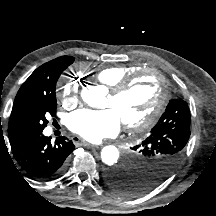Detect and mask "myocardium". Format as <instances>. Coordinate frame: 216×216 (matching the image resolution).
<instances>
[{"label":"myocardium","mask_w":216,"mask_h":216,"mask_svg":"<svg viewBox=\"0 0 216 216\" xmlns=\"http://www.w3.org/2000/svg\"><path fill=\"white\" fill-rule=\"evenodd\" d=\"M152 73L156 75L160 82V94L157 99V102L155 106L152 108L150 113L147 117H145L143 120L138 121L133 124L124 123V128L128 132H140L143 131L150 126H152L157 118L159 117L160 113L164 109L166 102L169 97V89H168V81L165 77V75L159 71L156 68H146L139 70L135 73H132L122 79L119 83H117L114 87L110 88V96L113 98H118L122 94H124L126 91H128L132 85L143 75Z\"/></svg>","instance_id":"1"}]
</instances>
